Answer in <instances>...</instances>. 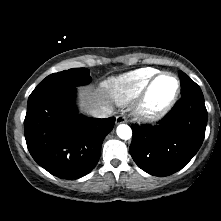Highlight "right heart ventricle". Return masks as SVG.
<instances>
[{
    "instance_id": "obj_1",
    "label": "right heart ventricle",
    "mask_w": 221,
    "mask_h": 221,
    "mask_svg": "<svg viewBox=\"0 0 221 221\" xmlns=\"http://www.w3.org/2000/svg\"><path fill=\"white\" fill-rule=\"evenodd\" d=\"M156 73L154 68H139L104 81L102 87L115 102L125 104L139 96Z\"/></svg>"
}]
</instances>
